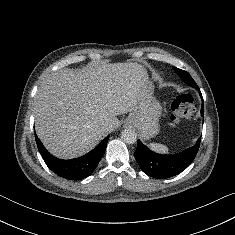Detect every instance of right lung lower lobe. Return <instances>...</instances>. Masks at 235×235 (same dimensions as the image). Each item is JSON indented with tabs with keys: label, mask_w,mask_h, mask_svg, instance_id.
Returning <instances> with one entry per match:
<instances>
[{
	"label": "right lung lower lobe",
	"mask_w": 235,
	"mask_h": 235,
	"mask_svg": "<svg viewBox=\"0 0 235 235\" xmlns=\"http://www.w3.org/2000/svg\"><path fill=\"white\" fill-rule=\"evenodd\" d=\"M35 139L44 162L54 173L68 180H80L88 177L97 167L105 152L109 136L86 155L71 160H61L52 156L36 135Z\"/></svg>",
	"instance_id": "98d812e1"
}]
</instances>
